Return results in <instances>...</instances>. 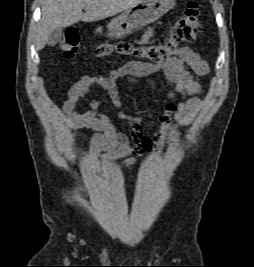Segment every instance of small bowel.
<instances>
[{
    "label": "small bowel",
    "instance_id": "small-bowel-1",
    "mask_svg": "<svg viewBox=\"0 0 254 267\" xmlns=\"http://www.w3.org/2000/svg\"><path fill=\"white\" fill-rule=\"evenodd\" d=\"M152 35L153 30L150 29L144 34L141 42H147ZM186 67H189L198 76H205L210 71L208 63L200 57L197 51L191 47H182L176 56L166 62L153 64L132 61L111 70L107 76H83L73 84L63 104L67 123L74 129L94 131L89 143V153L94 159L110 161L122 159L120 168H127L134 164V154L151 151L157 147L172 118L176 126H185L197 114L202 102L200 97L202 85ZM150 75H160L168 90L164 113L160 117L161 128L153 137L147 138L142 136L141 125L153 114L130 115L125 113L117 81L126 79L132 83L137 78ZM94 85L103 88L108 93L114 107L119 110L115 118L101 112V103L98 100L91 101L90 110L76 111L79 101L89 93ZM177 96H180L182 101L175 104L173 101ZM117 120L131 127L132 138L137 145L136 149L130 146L128 137L119 131ZM114 170L115 168H112L109 172Z\"/></svg>",
    "mask_w": 254,
    "mask_h": 267
}]
</instances>
